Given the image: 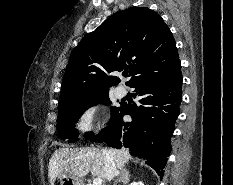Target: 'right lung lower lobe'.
Wrapping results in <instances>:
<instances>
[{"label":"right lung lower lobe","instance_id":"98d812e1","mask_svg":"<svg viewBox=\"0 0 233 185\" xmlns=\"http://www.w3.org/2000/svg\"><path fill=\"white\" fill-rule=\"evenodd\" d=\"M182 80L179 58L141 74L130 84L135 88L138 102L133 105L122 103L110 125L89 139L105 141L114 148H130L131 154L146 160L162 178L182 101ZM124 115H130L131 120L123 121Z\"/></svg>","mask_w":233,"mask_h":185}]
</instances>
